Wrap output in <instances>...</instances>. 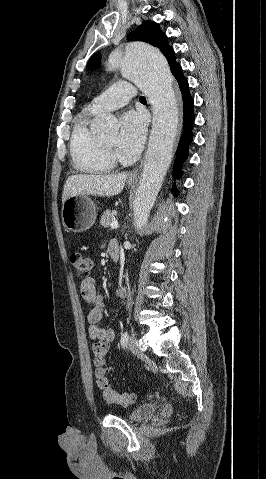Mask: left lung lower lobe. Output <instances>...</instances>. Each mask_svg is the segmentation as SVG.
<instances>
[{"label": "left lung lower lobe", "mask_w": 266, "mask_h": 479, "mask_svg": "<svg viewBox=\"0 0 266 479\" xmlns=\"http://www.w3.org/2000/svg\"><path fill=\"white\" fill-rule=\"evenodd\" d=\"M172 74L176 78L181 93L183 97V112H184V127L183 132L178 144L177 152H176V159L173 165V175L175 178L179 179L182 175V164L188 157V145L192 142L193 135H192V124L194 122V114H193V99L189 94V86L188 82L185 79L180 64L176 65L172 70ZM171 192L174 195H177V188L175 187V182L173 183V188Z\"/></svg>", "instance_id": "obj_1"}]
</instances>
